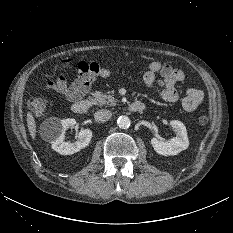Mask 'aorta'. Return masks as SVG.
I'll use <instances>...</instances> for the list:
<instances>
[{
  "label": "aorta",
  "mask_w": 233,
  "mask_h": 233,
  "mask_svg": "<svg viewBox=\"0 0 233 233\" xmlns=\"http://www.w3.org/2000/svg\"><path fill=\"white\" fill-rule=\"evenodd\" d=\"M130 124H131V120L128 116L122 115L119 116L117 119V125L122 129L129 128Z\"/></svg>",
  "instance_id": "aorta-1"
}]
</instances>
